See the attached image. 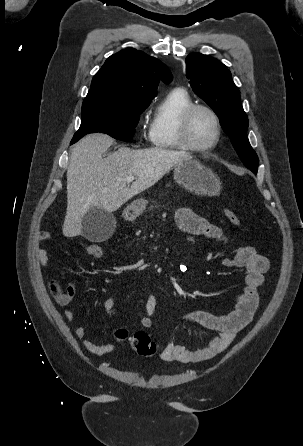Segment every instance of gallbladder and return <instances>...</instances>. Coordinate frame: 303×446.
Segmentation results:
<instances>
[{
	"mask_svg": "<svg viewBox=\"0 0 303 446\" xmlns=\"http://www.w3.org/2000/svg\"><path fill=\"white\" fill-rule=\"evenodd\" d=\"M116 221L111 213L99 208L88 211L81 223V234L90 241H103L111 237Z\"/></svg>",
	"mask_w": 303,
	"mask_h": 446,
	"instance_id": "gallbladder-1",
	"label": "gallbladder"
}]
</instances>
